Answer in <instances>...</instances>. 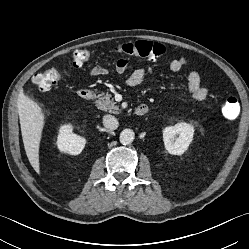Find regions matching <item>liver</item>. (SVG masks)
I'll return each mask as SVG.
<instances>
[{"mask_svg": "<svg viewBox=\"0 0 249 249\" xmlns=\"http://www.w3.org/2000/svg\"><path fill=\"white\" fill-rule=\"evenodd\" d=\"M17 107L26 155L33 169L40 173L39 147L45 115L41 106L24 93L19 95Z\"/></svg>", "mask_w": 249, "mask_h": 249, "instance_id": "obj_1", "label": "liver"}]
</instances>
